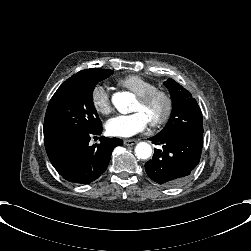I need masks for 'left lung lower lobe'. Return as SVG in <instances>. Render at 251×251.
<instances>
[{"label":"left lung lower lobe","mask_w":251,"mask_h":251,"mask_svg":"<svg viewBox=\"0 0 251 251\" xmlns=\"http://www.w3.org/2000/svg\"><path fill=\"white\" fill-rule=\"evenodd\" d=\"M163 150L154 149L151 160L145 163L147 175L155 182L173 187L183 183L199 164L203 132L184 131L167 137L149 138Z\"/></svg>","instance_id":"0a47b994"}]
</instances>
